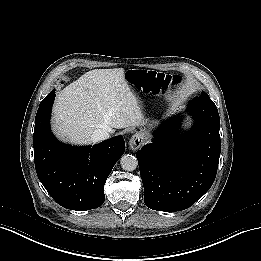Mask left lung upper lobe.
<instances>
[{"label": "left lung upper lobe", "instance_id": "1", "mask_svg": "<svg viewBox=\"0 0 261 261\" xmlns=\"http://www.w3.org/2000/svg\"><path fill=\"white\" fill-rule=\"evenodd\" d=\"M198 98H202L204 100H208V101H212L209 96L206 93H203L198 97Z\"/></svg>", "mask_w": 261, "mask_h": 261}]
</instances>
